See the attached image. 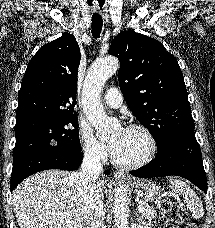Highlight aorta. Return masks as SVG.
Returning <instances> with one entry per match:
<instances>
[{"mask_svg":"<svg viewBox=\"0 0 215 228\" xmlns=\"http://www.w3.org/2000/svg\"><path fill=\"white\" fill-rule=\"evenodd\" d=\"M119 66L117 58H103V60L94 62L89 70V76L83 90V112L91 126H94L101 136L109 134L111 128L108 126L109 118L103 110L99 94L103 84L117 72ZM128 202L126 192L115 190L113 210L115 228H128Z\"/></svg>","mask_w":215,"mask_h":228,"instance_id":"aorta-1","label":"aorta"}]
</instances>
